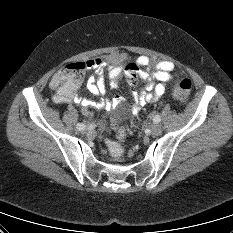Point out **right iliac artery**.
Listing matches in <instances>:
<instances>
[{"label": "right iliac artery", "instance_id": "obj_1", "mask_svg": "<svg viewBox=\"0 0 233 233\" xmlns=\"http://www.w3.org/2000/svg\"><path fill=\"white\" fill-rule=\"evenodd\" d=\"M84 127H86V125H84L83 123H78L76 126L78 130H83Z\"/></svg>", "mask_w": 233, "mask_h": 233}]
</instances>
